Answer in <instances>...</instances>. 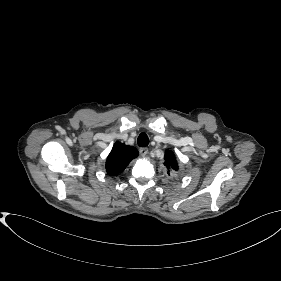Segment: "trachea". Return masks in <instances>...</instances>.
<instances>
[{"label": "trachea", "instance_id": "trachea-1", "mask_svg": "<svg viewBox=\"0 0 281 281\" xmlns=\"http://www.w3.org/2000/svg\"><path fill=\"white\" fill-rule=\"evenodd\" d=\"M137 143L140 147H146L149 144V138L145 133H141L137 138Z\"/></svg>", "mask_w": 281, "mask_h": 281}]
</instances>
